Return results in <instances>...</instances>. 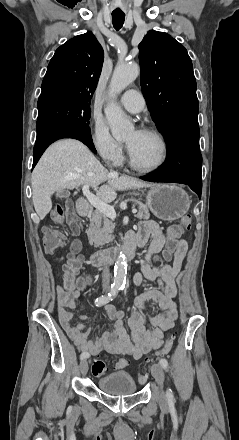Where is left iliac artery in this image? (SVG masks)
Segmentation results:
<instances>
[{"mask_svg": "<svg viewBox=\"0 0 239 440\" xmlns=\"http://www.w3.org/2000/svg\"><path fill=\"white\" fill-rule=\"evenodd\" d=\"M121 289H123V288H121ZM159 363L164 369L168 368V361L165 358L160 359ZM166 394H167L168 402L173 403L174 396H173L172 390L168 389Z\"/></svg>", "mask_w": 239, "mask_h": 440, "instance_id": "1", "label": "left iliac artery"}]
</instances>
